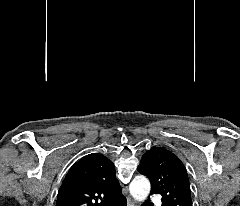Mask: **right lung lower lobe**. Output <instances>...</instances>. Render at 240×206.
Segmentation results:
<instances>
[{"label": "right lung lower lobe", "instance_id": "obj_1", "mask_svg": "<svg viewBox=\"0 0 240 206\" xmlns=\"http://www.w3.org/2000/svg\"><path fill=\"white\" fill-rule=\"evenodd\" d=\"M105 206H126V198L121 193L107 202Z\"/></svg>", "mask_w": 240, "mask_h": 206}]
</instances>
